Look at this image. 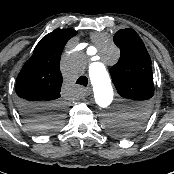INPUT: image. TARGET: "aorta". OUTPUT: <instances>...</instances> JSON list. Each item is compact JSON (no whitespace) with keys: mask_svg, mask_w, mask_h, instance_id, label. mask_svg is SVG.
Here are the masks:
<instances>
[{"mask_svg":"<svg viewBox=\"0 0 174 174\" xmlns=\"http://www.w3.org/2000/svg\"><path fill=\"white\" fill-rule=\"evenodd\" d=\"M103 55L106 60L114 62L118 58V49L111 41L106 40ZM89 75L93 83L96 104L101 110L100 124L104 128H110V124L116 119L125 117L126 112L123 110L115 112L107 110L114 100V91L104 65L102 63L91 64Z\"/></svg>","mask_w":174,"mask_h":174,"instance_id":"762f6f07","label":"aorta"}]
</instances>
